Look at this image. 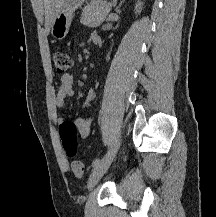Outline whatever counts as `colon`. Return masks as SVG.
<instances>
[{
    "instance_id": "colon-1",
    "label": "colon",
    "mask_w": 216,
    "mask_h": 217,
    "mask_svg": "<svg viewBox=\"0 0 216 217\" xmlns=\"http://www.w3.org/2000/svg\"><path fill=\"white\" fill-rule=\"evenodd\" d=\"M53 63L58 73L67 72L72 66V59L68 52L57 50L53 53ZM77 130L74 123L65 121L60 129V137L63 148L69 157L75 155L77 151ZM72 171L75 176L81 177L85 173V166L81 161L72 163Z\"/></svg>"
}]
</instances>
